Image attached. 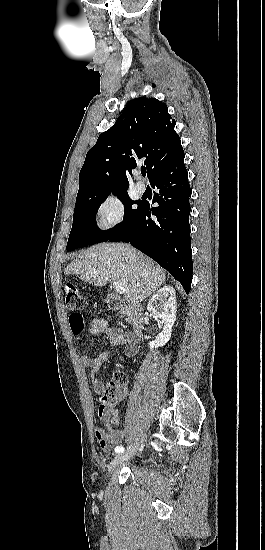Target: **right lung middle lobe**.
Instances as JSON below:
<instances>
[{
  "instance_id": "1",
  "label": "right lung middle lobe",
  "mask_w": 265,
  "mask_h": 550,
  "mask_svg": "<svg viewBox=\"0 0 265 550\" xmlns=\"http://www.w3.org/2000/svg\"><path fill=\"white\" fill-rule=\"evenodd\" d=\"M108 195L110 194L92 198H76L73 225L66 247L67 251L107 241L115 232L128 224L140 209L141 203L132 201L127 191L114 193L113 195L118 196L125 206L124 219L122 223L114 228L102 231L97 227L96 213ZM133 204H138L137 209L131 208Z\"/></svg>"
}]
</instances>
